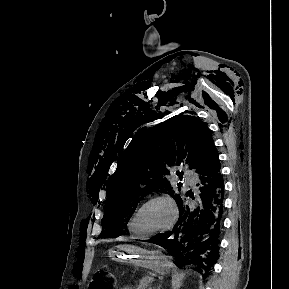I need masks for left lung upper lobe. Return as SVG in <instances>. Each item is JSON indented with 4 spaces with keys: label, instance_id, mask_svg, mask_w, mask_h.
<instances>
[{
    "label": "left lung upper lobe",
    "instance_id": "5c2ea615",
    "mask_svg": "<svg viewBox=\"0 0 289 289\" xmlns=\"http://www.w3.org/2000/svg\"><path fill=\"white\" fill-rule=\"evenodd\" d=\"M189 113L140 131L123 152L107 185L99 238L120 236L137 203L147 194L159 191L175 200L180 197L169 183V167L186 162L197 171L206 163L216 149L211 132Z\"/></svg>",
    "mask_w": 289,
    "mask_h": 289
}]
</instances>
